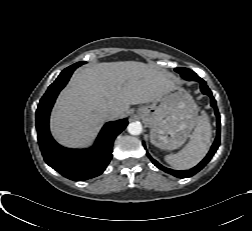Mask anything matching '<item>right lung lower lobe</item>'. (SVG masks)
Segmentation results:
<instances>
[{"mask_svg": "<svg viewBox=\"0 0 252 231\" xmlns=\"http://www.w3.org/2000/svg\"><path fill=\"white\" fill-rule=\"evenodd\" d=\"M79 66V63H75L61 72L41 98L36 111L38 141L45 162L74 181L91 179L103 173L112 158L114 139L128 124L127 119L106 123L89 149H68L54 141L48 126L50 111L57 95Z\"/></svg>", "mask_w": 252, "mask_h": 231, "instance_id": "obj_1", "label": "right lung lower lobe"}]
</instances>
